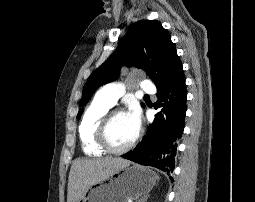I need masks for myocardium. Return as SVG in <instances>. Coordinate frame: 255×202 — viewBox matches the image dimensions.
<instances>
[{"label": "myocardium", "instance_id": "f54148a6", "mask_svg": "<svg viewBox=\"0 0 255 202\" xmlns=\"http://www.w3.org/2000/svg\"><path fill=\"white\" fill-rule=\"evenodd\" d=\"M118 114H124V111L120 109H110L108 110L104 116L101 118L97 130H96V142L97 144L105 151L108 153L112 154H122L127 151H129L139 140L141 136V130L138 129L136 135L134 138L125 146L116 148L112 146L109 140V127L111 125V122L113 118L118 115Z\"/></svg>", "mask_w": 255, "mask_h": 202}]
</instances>
